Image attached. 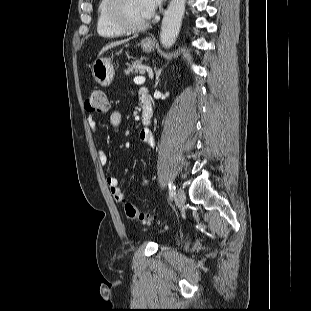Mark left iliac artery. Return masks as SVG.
<instances>
[{"label": "left iliac artery", "mask_w": 311, "mask_h": 311, "mask_svg": "<svg viewBox=\"0 0 311 311\" xmlns=\"http://www.w3.org/2000/svg\"><path fill=\"white\" fill-rule=\"evenodd\" d=\"M168 186H169V195H170L171 198H173L175 196V194H176V187L171 182H169Z\"/></svg>", "instance_id": "obj_1"}]
</instances>
